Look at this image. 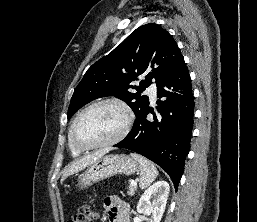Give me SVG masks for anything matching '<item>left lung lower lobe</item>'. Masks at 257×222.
<instances>
[{
	"label": "left lung lower lobe",
	"instance_id": "1",
	"mask_svg": "<svg viewBox=\"0 0 257 222\" xmlns=\"http://www.w3.org/2000/svg\"><path fill=\"white\" fill-rule=\"evenodd\" d=\"M158 115L148 120L149 107L137 117L132 130L114 147L139 153L162 167L175 190L184 171L193 129L194 97L188 68L182 58L157 85Z\"/></svg>",
	"mask_w": 257,
	"mask_h": 222
}]
</instances>
